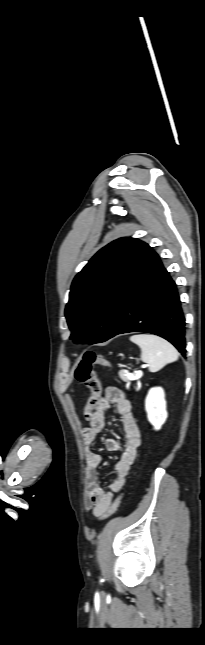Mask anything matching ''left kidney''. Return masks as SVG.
Masks as SVG:
<instances>
[{
  "label": "left kidney",
  "mask_w": 205,
  "mask_h": 645,
  "mask_svg": "<svg viewBox=\"0 0 205 645\" xmlns=\"http://www.w3.org/2000/svg\"><path fill=\"white\" fill-rule=\"evenodd\" d=\"M145 409L149 422L159 430L167 419L164 390L161 387L151 388L145 400Z\"/></svg>",
  "instance_id": "1"
}]
</instances>
